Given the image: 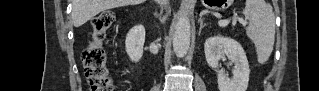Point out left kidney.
I'll use <instances>...</instances> for the list:
<instances>
[{"label": "left kidney", "instance_id": "5707ae66", "mask_svg": "<svg viewBox=\"0 0 319 91\" xmlns=\"http://www.w3.org/2000/svg\"><path fill=\"white\" fill-rule=\"evenodd\" d=\"M208 65L215 69L219 91H246L249 82V64L242 46L230 37L221 35L209 37L204 44ZM227 56L234 63L233 76L229 78L223 70H217L219 60Z\"/></svg>", "mask_w": 319, "mask_h": 91}]
</instances>
